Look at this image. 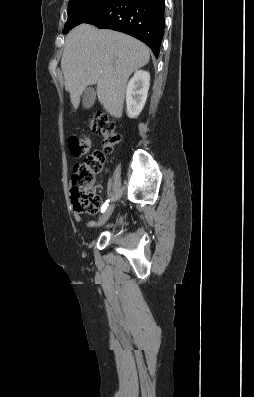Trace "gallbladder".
Here are the masks:
<instances>
[{"mask_svg": "<svg viewBox=\"0 0 254 397\" xmlns=\"http://www.w3.org/2000/svg\"><path fill=\"white\" fill-rule=\"evenodd\" d=\"M95 98H96V93L93 87L89 86L85 89L84 93H83V98H82V103L84 108H90L94 102H95Z\"/></svg>", "mask_w": 254, "mask_h": 397, "instance_id": "1", "label": "gallbladder"}]
</instances>
